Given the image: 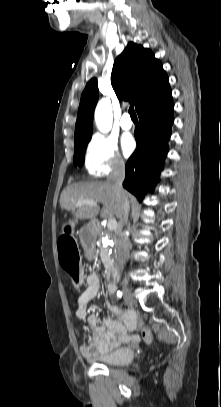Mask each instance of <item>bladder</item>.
<instances>
[{"label":"bladder","instance_id":"bladder-1","mask_svg":"<svg viewBox=\"0 0 221 407\" xmlns=\"http://www.w3.org/2000/svg\"><path fill=\"white\" fill-rule=\"evenodd\" d=\"M135 357V351L132 347H119L105 354H98L91 358L92 361L106 366H126L130 364Z\"/></svg>","mask_w":221,"mask_h":407}]
</instances>
